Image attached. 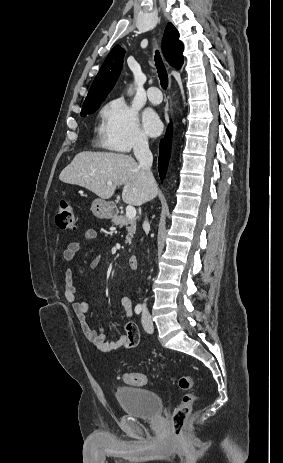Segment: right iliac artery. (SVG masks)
<instances>
[{"instance_id": "right-iliac-artery-1", "label": "right iliac artery", "mask_w": 283, "mask_h": 463, "mask_svg": "<svg viewBox=\"0 0 283 463\" xmlns=\"http://www.w3.org/2000/svg\"><path fill=\"white\" fill-rule=\"evenodd\" d=\"M142 311V305L141 304H137L136 307H135V313L136 314H140Z\"/></svg>"}]
</instances>
